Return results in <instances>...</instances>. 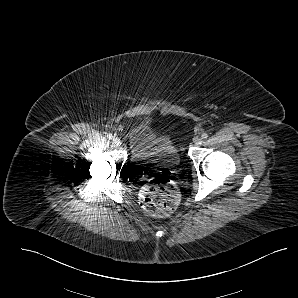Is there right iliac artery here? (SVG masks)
<instances>
[{"label": "right iliac artery", "instance_id": "82829eb1", "mask_svg": "<svg viewBox=\"0 0 298 298\" xmlns=\"http://www.w3.org/2000/svg\"><path fill=\"white\" fill-rule=\"evenodd\" d=\"M107 137H108L109 139H114V136H113L112 134L107 135Z\"/></svg>", "mask_w": 298, "mask_h": 298}]
</instances>
